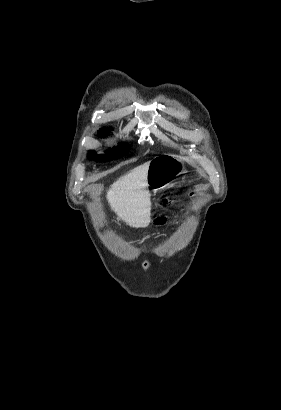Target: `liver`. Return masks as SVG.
Segmentation results:
<instances>
[{"mask_svg":"<svg viewBox=\"0 0 281 410\" xmlns=\"http://www.w3.org/2000/svg\"><path fill=\"white\" fill-rule=\"evenodd\" d=\"M149 162H146L115 181L107 191V200L118 219L134 228L150 223L151 201L146 190Z\"/></svg>","mask_w":281,"mask_h":410,"instance_id":"6515ba94","label":"liver"}]
</instances>
